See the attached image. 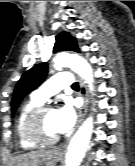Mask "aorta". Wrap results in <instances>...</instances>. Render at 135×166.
<instances>
[{"instance_id":"obj_1","label":"aorta","mask_w":135,"mask_h":166,"mask_svg":"<svg viewBox=\"0 0 135 166\" xmlns=\"http://www.w3.org/2000/svg\"><path fill=\"white\" fill-rule=\"evenodd\" d=\"M67 67L71 68L82 77L89 84L90 91H93L92 68L84 58L68 53L58 54L54 59V68L60 70ZM92 130L93 119L92 117H89L84 121L71 139L66 153V166L80 165L91 139Z\"/></svg>"}]
</instances>
